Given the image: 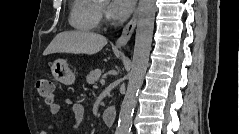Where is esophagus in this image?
<instances>
[{"label": "esophagus", "mask_w": 239, "mask_h": 134, "mask_svg": "<svg viewBox=\"0 0 239 134\" xmlns=\"http://www.w3.org/2000/svg\"><path fill=\"white\" fill-rule=\"evenodd\" d=\"M140 3H141V0L139 1L138 6L135 9V12H134L132 18L124 27L121 36L115 42L116 47L121 48L130 40V38L134 32L136 23H137V17H138Z\"/></svg>", "instance_id": "34e87169"}]
</instances>
